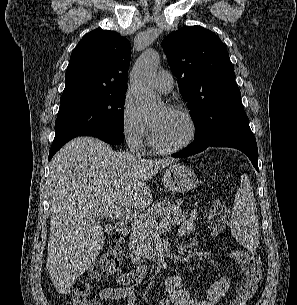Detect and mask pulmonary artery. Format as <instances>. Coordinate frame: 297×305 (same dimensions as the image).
I'll return each mask as SVG.
<instances>
[{"mask_svg": "<svg viewBox=\"0 0 297 305\" xmlns=\"http://www.w3.org/2000/svg\"><path fill=\"white\" fill-rule=\"evenodd\" d=\"M155 88L161 93H169L174 85V79L170 72L160 70L154 78Z\"/></svg>", "mask_w": 297, "mask_h": 305, "instance_id": "e3ab8cb5", "label": "pulmonary artery"}]
</instances>
